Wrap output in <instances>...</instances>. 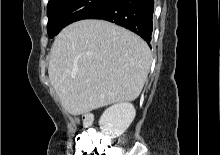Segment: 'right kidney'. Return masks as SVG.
<instances>
[{
    "label": "right kidney",
    "instance_id": "obj_1",
    "mask_svg": "<svg viewBox=\"0 0 220 155\" xmlns=\"http://www.w3.org/2000/svg\"><path fill=\"white\" fill-rule=\"evenodd\" d=\"M136 111L131 103H119L107 108L99 125L101 132L110 138L122 135L134 120Z\"/></svg>",
    "mask_w": 220,
    "mask_h": 155
}]
</instances>
